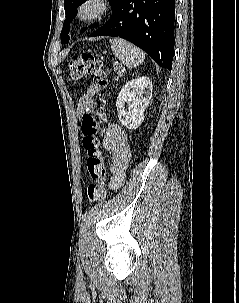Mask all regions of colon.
<instances>
[{"mask_svg":"<svg viewBox=\"0 0 239 303\" xmlns=\"http://www.w3.org/2000/svg\"><path fill=\"white\" fill-rule=\"evenodd\" d=\"M86 77L95 79L99 86L107 85V72L103 63L93 54L84 53L69 63V80L80 81ZM99 125L94 116L86 111L83 115L81 132L82 144L87 152V170L91 178L86 195L90 203H97L106 197V166L99 149Z\"/></svg>","mask_w":239,"mask_h":303,"instance_id":"colon-1","label":"colon"}]
</instances>
